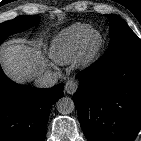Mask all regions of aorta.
<instances>
[{"label":"aorta","mask_w":141,"mask_h":141,"mask_svg":"<svg viewBox=\"0 0 141 141\" xmlns=\"http://www.w3.org/2000/svg\"><path fill=\"white\" fill-rule=\"evenodd\" d=\"M56 108L61 114H70L75 109V104L73 100L69 97H62L56 103Z\"/></svg>","instance_id":"1"}]
</instances>
